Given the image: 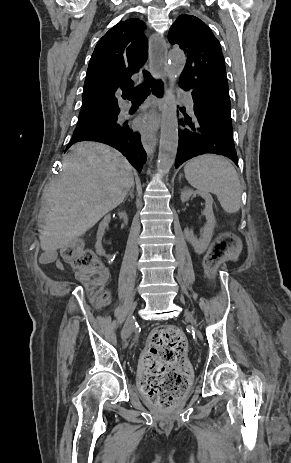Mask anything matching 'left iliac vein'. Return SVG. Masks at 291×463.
<instances>
[{
    "instance_id": "1",
    "label": "left iliac vein",
    "mask_w": 291,
    "mask_h": 463,
    "mask_svg": "<svg viewBox=\"0 0 291 463\" xmlns=\"http://www.w3.org/2000/svg\"><path fill=\"white\" fill-rule=\"evenodd\" d=\"M185 316L192 324H195L193 314L190 311L185 310Z\"/></svg>"
}]
</instances>
